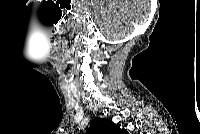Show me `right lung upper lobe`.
<instances>
[{
	"label": "right lung upper lobe",
	"instance_id": "cb5924a9",
	"mask_svg": "<svg viewBox=\"0 0 200 134\" xmlns=\"http://www.w3.org/2000/svg\"><path fill=\"white\" fill-rule=\"evenodd\" d=\"M125 132V129H120V127L112 121L102 118L93 120L90 124V128L87 130L88 134H122Z\"/></svg>",
	"mask_w": 200,
	"mask_h": 134
}]
</instances>
